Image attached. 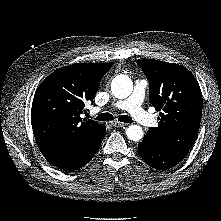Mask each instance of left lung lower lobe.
Here are the masks:
<instances>
[{
  "label": "left lung lower lobe",
  "mask_w": 221,
  "mask_h": 221,
  "mask_svg": "<svg viewBox=\"0 0 221 221\" xmlns=\"http://www.w3.org/2000/svg\"><path fill=\"white\" fill-rule=\"evenodd\" d=\"M137 153L145 163L158 170L169 169L185 157V154L158 146L145 138L139 142Z\"/></svg>",
  "instance_id": "1"
}]
</instances>
